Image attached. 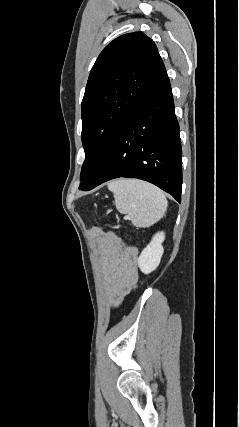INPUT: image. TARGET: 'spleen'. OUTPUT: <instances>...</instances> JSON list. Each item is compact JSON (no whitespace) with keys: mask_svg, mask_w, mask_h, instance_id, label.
Returning <instances> with one entry per match:
<instances>
[{"mask_svg":"<svg viewBox=\"0 0 239 427\" xmlns=\"http://www.w3.org/2000/svg\"><path fill=\"white\" fill-rule=\"evenodd\" d=\"M117 210L126 214L136 227L146 228L158 222L167 209V199L156 186L137 179H118L108 184Z\"/></svg>","mask_w":239,"mask_h":427,"instance_id":"obj_1","label":"spleen"}]
</instances>
